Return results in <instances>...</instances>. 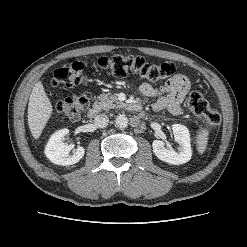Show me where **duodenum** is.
<instances>
[{
    "label": "duodenum",
    "mask_w": 247,
    "mask_h": 247,
    "mask_svg": "<svg viewBox=\"0 0 247 247\" xmlns=\"http://www.w3.org/2000/svg\"><path fill=\"white\" fill-rule=\"evenodd\" d=\"M129 110L132 112H141L142 111V105L139 103H132L128 106ZM101 112V106L99 104H94L89 110H88V116L94 117L98 115Z\"/></svg>",
    "instance_id": "1"
}]
</instances>
